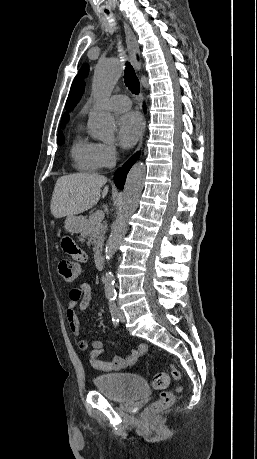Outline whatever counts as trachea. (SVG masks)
I'll return each instance as SVG.
<instances>
[{"label": "trachea", "instance_id": "obj_1", "mask_svg": "<svg viewBox=\"0 0 257 459\" xmlns=\"http://www.w3.org/2000/svg\"><path fill=\"white\" fill-rule=\"evenodd\" d=\"M108 13V12H107ZM124 79H125V84L129 88V90L133 94H139L140 92V83L139 80L135 74V71L133 67L130 65V63L126 64V68L124 70Z\"/></svg>", "mask_w": 257, "mask_h": 459}]
</instances>
